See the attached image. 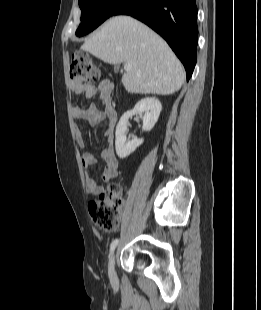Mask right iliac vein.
<instances>
[{
  "instance_id": "1",
  "label": "right iliac vein",
  "mask_w": 261,
  "mask_h": 310,
  "mask_svg": "<svg viewBox=\"0 0 261 310\" xmlns=\"http://www.w3.org/2000/svg\"><path fill=\"white\" fill-rule=\"evenodd\" d=\"M108 274L109 278L112 282L116 281V272H115V254L113 253L110 260H109V266H108Z\"/></svg>"
}]
</instances>
